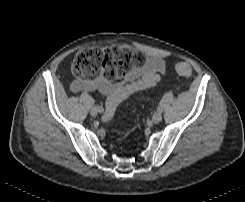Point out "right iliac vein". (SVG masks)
Listing matches in <instances>:
<instances>
[{
    "label": "right iliac vein",
    "mask_w": 245,
    "mask_h": 202,
    "mask_svg": "<svg viewBox=\"0 0 245 202\" xmlns=\"http://www.w3.org/2000/svg\"><path fill=\"white\" fill-rule=\"evenodd\" d=\"M101 109L98 106L93 107L90 110V114L95 117L98 113H100Z\"/></svg>",
    "instance_id": "1"
}]
</instances>
